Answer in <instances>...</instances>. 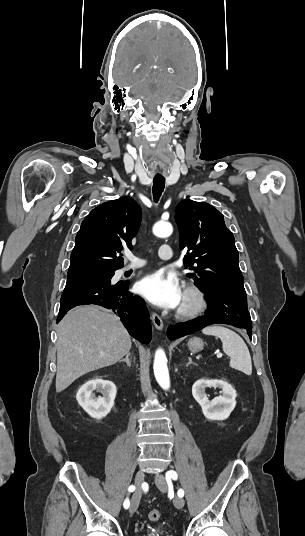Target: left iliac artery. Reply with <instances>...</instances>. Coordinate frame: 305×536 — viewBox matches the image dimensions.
<instances>
[{"label":"left iliac artery","instance_id":"obj_1","mask_svg":"<svg viewBox=\"0 0 305 536\" xmlns=\"http://www.w3.org/2000/svg\"><path fill=\"white\" fill-rule=\"evenodd\" d=\"M178 478V475L177 473L174 471V470H170V471H167L166 472V481L167 483H170L171 482V479L173 480H177ZM178 496L179 497H183L184 496V491L182 489H179L178 490Z\"/></svg>","mask_w":305,"mask_h":536}]
</instances>
